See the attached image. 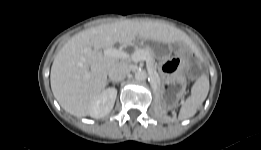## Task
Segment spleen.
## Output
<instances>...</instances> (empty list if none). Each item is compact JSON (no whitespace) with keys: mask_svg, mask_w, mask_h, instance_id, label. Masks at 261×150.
Listing matches in <instances>:
<instances>
[{"mask_svg":"<svg viewBox=\"0 0 261 150\" xmlns=\"http://www.w3.org/2000/svg\"><path fill=\"white\" fill-rule=\"evenodd\" d=\"M209 92V78L206 75L199 77L191 88V95L182 104L178 119L185 120L194 116L203 104Z\"/></svg>","mask_w":261,"mask_h":150,"instance_id":"obj_1","label":"spleen"}]
</instances>
